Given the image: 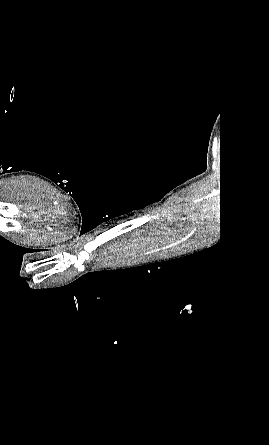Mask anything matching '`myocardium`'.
Here are the masks:
<instances>
[{
	"instance_id": "f54148a6",
	"label": "myocardium",
	"mask_w": 269,
	"mask_h": 445,
	"mask_svg": "<svg viewBox=\"0 0 269 445\" xmlns=\"http://www.w3.org/2000/svg\"><path fill=\"white\" fill-rule=\"evenodd\" d=\"M57 241H60V238H52V239L38 240V241H36V243H39V244H48V243L57 242Z\"/></svg>"
}]
</instances>
